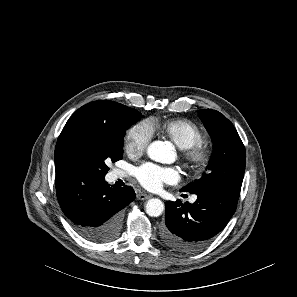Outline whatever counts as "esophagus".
<instances>
[{"label":"esophagus","instance_id":"esophagus-1","mask_svg":"<svg viewBox=\"0 0 297 297\" xmlns=\"http://www.w3.org/2000/svg\"><path fill=\"white\" fill-rule=\"evenodd\" d=\"M151 197V195H148L146 193H142V192H138L137 195H136V198L138 200H147Z\"/></svg>","mask_w":297,"mask_h":297}]
</instances>
